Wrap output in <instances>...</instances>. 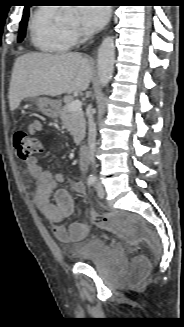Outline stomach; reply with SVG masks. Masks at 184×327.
<instances>
[{"label": "stomach", "instance_id": "1", "mask_svg": "<svg viewBox=\"0 0 184 327\" xmlns=\"http://www.w3.org/2000/svg\"><path fill=\"white\" fill-rule=\"evenodd\" d=\"M37 106L39 111L50 118H56L60 112V103L57 100L49 99L46 97L38 98Z\"/></svg>", "mask_w": 184, "mask_h": 327}]
</instances>
